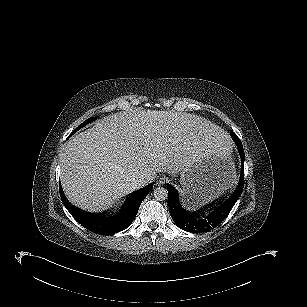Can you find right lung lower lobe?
Masks as SVG:
<instances>
[{
	"label": "right lung lower lobe",
	"instance_id": "right-lung-lower-lobe-1",
	"mask_svg": "<svg viewBox=\"0 0 307 307\" xmlns=\"http://www.w3.org/2000/svg\"><path fill=\"white\" fill-rule=\"evenodd\" d=\"M152 189L153 185L150 184L133 193L126 199L115 216L107 218L105 212L91 213L75 207L65 197L61 185L59 187L62 202L75 220L88 230L100 235H111L128 228L133 222L142 200Z\"/></svg>",
	"mask_w": 307,
	"mask_h": 307
}]
</instances>
